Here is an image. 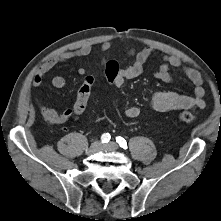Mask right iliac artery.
Listing matches in <instances>:
<instances>
[{
    "label": "right iliac artery",
    "instance_id": "obj_1",
    "mask_svg": "<svg viewBox=\"0 0 221 221\" xmlns=\"http://www.w3.org/2000/svg\"><path fill=\"white\" fill-rule=\"evenodd\" d=\"M110 138H111V136H110L109 133H104V134L101 136V141H102L103 143H107V142H109Z\"/></svg>",
    "mask_w": 221,
    "mask_h": 221
}]
</instances>
